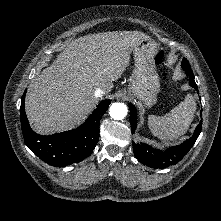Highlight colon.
<instances>
[{"label": "colon", "mask_w": 221, "mask_h": 221, "mask_svg": "<svg viewBox=\"0 0 221 221\" xmlns=\"http://www.w3.org/2000/svg\"><path fill=\"white\" fill-rule=\"evenodd\" d=\"M164 57H165L164 52H162V51L158 52V54L156 56V63L161 64L164 60Z\"/></svg>", "instance_id": "obj_1"}]
</instances>
